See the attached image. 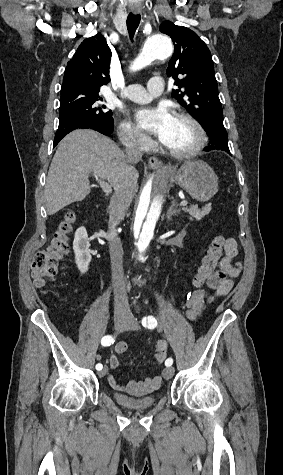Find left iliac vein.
<instances>
[{"instance_id":"left-iliac-vein-1","label":"left iliac vein","mask_w":283,"mask_h":475,"mask_svg":"<svg viewBox=\"0 0 283 475\" xmlns=\"http://www.w3.org/2000/svg\"><path fill=\"white\" fill-rule=\"evenodd\" d=\"M128 316V322L124 326L123 330H139L140 326L136 318L132 314L127 315ZM163 378L165 380H169L173 377L174 375V368L173 367H167L163 369L162 371Z\"/></svg>"}]
</instances>
